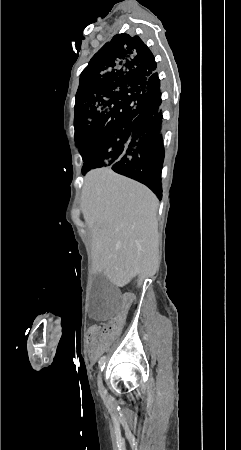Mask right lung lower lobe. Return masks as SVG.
Instances as JSON below:
<instances>
[{
    "label": "right lung lower lobe",
    "instance_id": "right-lung-lower-lobe-1",
    "mask_svg": "<svg viewBox=\"0 0 241 450\" xmlns=\"http://www.w3.org/2000/svg\"><path fill=\"white\" fill-rule=\"evenodd\" d=\"M145 86L146 108L142 115L110 132L105 137V141L129 132L143 136L142 142L114 163L112 169L145 184L161 199V170L164 160L161 135L163 116L160 79L156 72L147 78Z\"/></svg>",
    "mask_w": 241,
    "mask_h": 450
}]
</instances>
